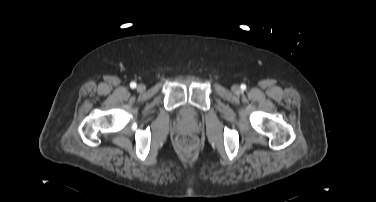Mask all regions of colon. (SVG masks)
Segmentation results:
<instances>
[{
    "instance_id": "1",
    "label": "colon",
    "mask_w": 376,
    "mask_h": 202,
    "mask_svg": "<svg viewBox=\"0 0 376 202\" xmlns=\"http://www.w3.org/2000/svg\"><path fill=\"white\" fill-rule=\"evenodd\" d=\"M197 138L189 133H181L176 138L177 145L183 150H192L197 146Z\"/></svg>"
}]
</instances>
